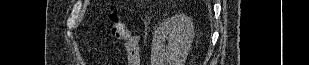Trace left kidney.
<instances>
[{
  "label": "left kidney",
  "instance_id": "left-kidney-1",
  "mask_svg": "<svg viewBox=\"0 0 309 65\" xmlns=\"http://www.w3.org/2000/svg\"><path fill=\"white\" fill-rule=\"evenodd\" d=\"M193 31L192 20L183 14L165 19L153 36L151 65H184L192 44Z\"/></svg>",
  "mask_w": 309,
  "mask_h": 65
}]
</instances>
